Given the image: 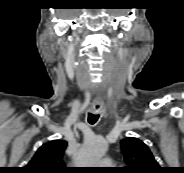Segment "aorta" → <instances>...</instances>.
I'll list each match as a JSON object with an SVG mask.
<instances>
[{"mask_svg": "<svg viewBox=\"0 0 184 173\" xmlns=\"http://www.w3.org/2000/svg\"><path fill=\"white\" fill-rule=\"evenodd\" d=\"M107 151V143L100 137L86 139L79 151L77 164L80 167H94Z\"/></svg>", "mask_w": 184, "mask_h": 173, "instance_id": "762f6f07", "label": "aorta"}]
</instances>
